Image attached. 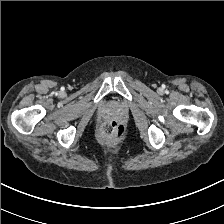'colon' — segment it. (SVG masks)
I'll return each instance as SVG.
<instances>
[{"label": "colon", "mask_w": 224, "mask_h": 224, "mask_svg": "<svg viewBox=\"0 0 224 224\" xmlns=\"http://www.w3.org/2000/svg\"><path fill=\"white\" fill-rule=\"evenodd\" d=\"M124 134L125 127L116 120L109 121L100 132L101 138L107 142L119 140Z\"/></svg>", "instance_id": "colon-1"}]
</instances>
